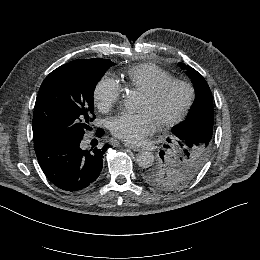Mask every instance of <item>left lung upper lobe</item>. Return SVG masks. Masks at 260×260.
Instances as JSON below:
<instances>
[{
	"instance_id": "1",
	"label": "left lung upper lobe",
	"mask_w": 260,
	"mask_h": 260,
	"mask_svg": "<svg viewBox=\"0 0 260 260\" xmlns=\"http://www.w3.org/2000/svg\"><path fill=\"white\" fill-rule=\"evenodd\" d=\"M191 78L195 88V101L185 121L174 126L173 136L167 138L164 145L165 152H160L151 165L143 169L142 179L150 186L164 190L174 191L189 184L200 172L207 162L212 145L213 130L206 134H200L193 127L194 115H199V109L213 110L211 90L203 78L195 69L180 63Z\"/></svg>"
}]
</instances>
